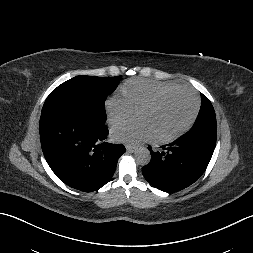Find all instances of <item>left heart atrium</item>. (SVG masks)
<instances>
[{
  "mask_svg": "<svg viewBox=\"0 0 253 253\" xmlns=\"http://www.w3.org/2000/svg\"><path fill=\"white\" fill-rule=\"evenodd\" d=\"M111 136L113 140L127 144H137L153 138L150 127L143 121L115 124L112 127Z\"/></svg>",
  "mask_w": 253,
  "mask_h": 253,
  "instance_id": "obj_1",
  "label": "left heart atrium"
}]
</instances>
